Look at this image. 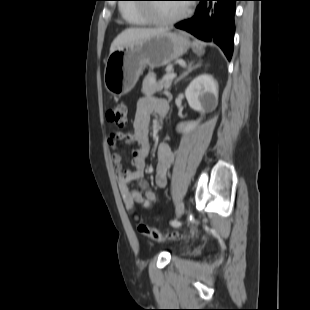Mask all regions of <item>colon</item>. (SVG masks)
I'll use <instances>...</instances> for the list:
<instances>
[{
  "label": "colon",
  "instance_id": "1",
  "mask_svg": "<svg viewBox=\"0 0 310 310\" xmlns=\"http://www.w3.org/2000/svg\"><path fill=\"white\" fill-rule=\"evenodd\" d=\"M107 120L116 127L123 129L127 125V106L124 103H119L107 111ZM137 230L141 236L152 241L164 242L176 239L178 233H163L149 227L143 222H138Z\"/></svg>",
  "mask_w": 310,
  "mask_h": 310
}]
</instances>
